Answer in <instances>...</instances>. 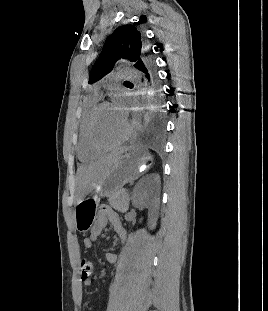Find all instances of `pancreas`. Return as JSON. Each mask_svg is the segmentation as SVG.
<instances>
[{
	"label": "pancreas",
	"mask_w": 268,
	"mask_h": 311,
	"mask_svg": "<svg viewBox=\"0 0 268 311\" xmlns=\"http://www.w3.org/2000/svg\"><path fill=\"white\" fill-rule=\"evenodd\" d=\"M129 194L121 189L111 194L108 198L109 205L118 212L125 213L129 208Z\"/></svg>",
	"instance_id": "pancreas-1"
}]
</instances>
